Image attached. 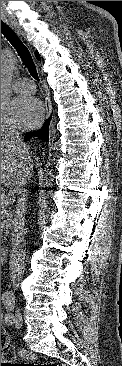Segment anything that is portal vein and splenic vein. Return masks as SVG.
<instances>
[{
  "label": "portal vein and splenic vein",
  "mask_w": 122,
  "mask_h": 366,
  "mask_svg": "<svg viewBox=\"0 0 122 366\" xmlns=\"http://www.w3.org/2000/svg\"><path fill=\"white\" fill-rule=\"evenodd\" d=\"M5 199V196L4 195H1V200H4Z\"/></svg>",
  "instance_id": "obj_1"
}]
</instances>
